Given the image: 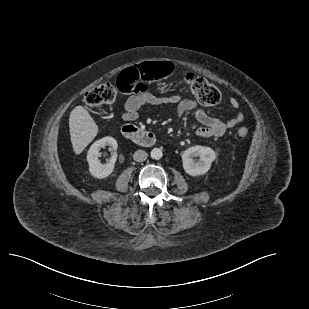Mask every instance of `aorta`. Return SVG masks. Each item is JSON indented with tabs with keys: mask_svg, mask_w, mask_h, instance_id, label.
I'll use <instances>...</instances> for the list:
<instances>
[{
	"mask_svg": "<svg viewBox=\"0 0 309 309\" xmlns=\"http://www.w3.org/2000/svg\"><path fill=\"white\" fill-rule=\"evenodd\" d=\"M163 156L162 150L160 148H153L151 150V158L155 160L161 159Z\"/></svg>",
	"mask_w": 309,
	"mask_h": 309,
	"instance_id": "762f6f07",
	"label": "aorta"
}]
</instances>
